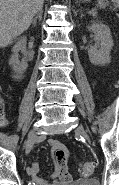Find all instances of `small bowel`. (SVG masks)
<instances>
[{
    "label": "small bowel",
    "mask_w": 119,
    "mask_h": 185,
    "mask_svg": "<svg viewBox=\"0 0 119 185\" xmlns=\"http://www.w3.org/2000/svg\"><path fill=\"white\" fill-rule=\"evenodd\" d=\"M49 145L52 150V160L54 164V171L49 178H42L38 176L39 163L34 162L27 168V173L32 176L33 181L37 185H57V180L70 181L71 176L68 171L69 152L65 145L56 139H49Z\"/></svg>",
    "instance_id": "small-bowel-1"
}]
</instances>
